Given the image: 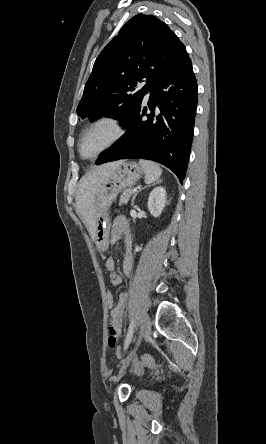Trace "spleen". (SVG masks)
Listing matches in <instances>:
<instances>
[{
	"label": "spleen",
	"instance_id": "1",
	"mask_svg": "<svg viewBox=\"0 0 266 444\" xmlns=\"http://www.w3.org/2000/svg\"><path fill=\"white\" fill-rule=\"evenodd\" d=\"M139 164L144 169L145 181L148 184L157 181L162 174V169L155 162L149 160H139Z\"/></svg>",
	"mask_w": 266,
	"mask_h": 444
}]
</instances>
